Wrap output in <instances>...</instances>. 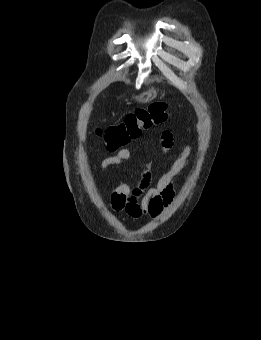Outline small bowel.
<instances>
[{
  "label": "small bowel",
  "mask_w": 261,
  "mask_h": 340,
  "mask_svg": "<svg viewBox=\"0 0 261 340\" xmlns=\"http://www.w3.org/2000/svg\"><path fill=\"white\" fill-rule=\"evenodd\" d=\"M161 150L168 152L174 145V138L170 131L161 133ZM115 151V150H114ZM191 148L184 145L181 155L172 163L168 171L160 176L156 185L151 186V172L149 167L138 164L142 169V176L135 186L119 184L110 196V206L116 213H124L132 219L144 216L156 218L173 199L174 184L177 177L187 167ZM132 152L128 148L119 149L114 155L102 159L96 168L103 172L111 166L124 165L132 160Z\"/></svg>",
  "instance_id": "small-bowel-1"
}]
</instances>
